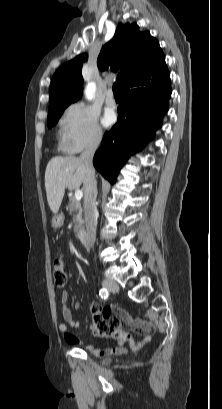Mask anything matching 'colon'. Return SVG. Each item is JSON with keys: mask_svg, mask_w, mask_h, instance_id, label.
<instances>
[{"mask_svg": "<svg viewBox=\"0 0 222 409\" xmlns=\"http://www.w3.org/2000/svg\"><path fill=\"white\" fill-rule=\"evenodd\" d=\"M52 278L54 286L58 290L65 287L67 274L63 256H59L55 259L52 265ZM112 315L113 310L110 307L94 308L92 314L93 332L97 336L122 340L125 334L121 331L118 321L114 320Z\"/></svg>", "mask_w": 222, "mask_h": 409, "instance_id": "1", "label": "colon"}]
</instances>
